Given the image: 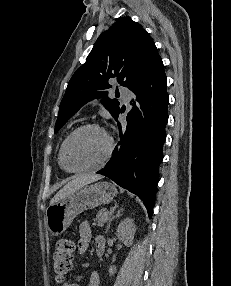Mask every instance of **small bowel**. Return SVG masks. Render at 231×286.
I'll list each match as a JSON object with an SVG mask.
<instances>
[{"label":"small bowel","mask_w":231,"mask_h":286,"mask_svg":"<svg viewBox=\"0 0 231 286\" xmlns=\"http://www.w3.org/2000/svg\"><path fill=\"white\" fill-rule=\"evenodd\" d=\"M79 241H78V252L84 254L91 243L92 239V229L90 224L87 221H84L79 226ZM103 240L101 237L96 239V245L99 241ZM100 278L96 270H93L90 275L89 285L88 286H99ZM62 286H79L75 282H65Z\"/></svg>","instance_id":"c3829d8e"}]
</instances>
